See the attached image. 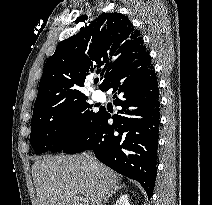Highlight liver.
<instances>
[{"instance_id": "liver-1", "label": "liver", "mask_w": 212, "mask_h": 205, "mask_svg": "<svg viewBox=\"0 0 212 205\" xmlns=\"http://www.w3.org/2000/svg\"><path fill=\"white\" fill-rule=\"evenodd\" d=\"M97 168L83 155L40 158L32 166L37 205H79L78 196L102 205L108 192L120 186V177L101 163Z\"/></svg>"}]
</instances>
